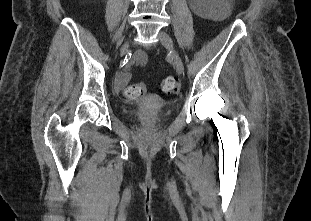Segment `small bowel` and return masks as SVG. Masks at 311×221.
<instances>
[{
    "label": "small bowel",
    "mask_w": 311,
    "mask_h": 221,
    "mask_svg": "<svg viewBox=\"0 0 311 221\" xmlns=\"http://www.w3.org/2000/svg\"><path fill=\"white\" fill-rule=\"evenodd\" d=\"M135 60L141 65H145L148 62V55L143 51H139L135 56Z\"/></svg>",
    "instance_id": "1"
}]
</instances>
